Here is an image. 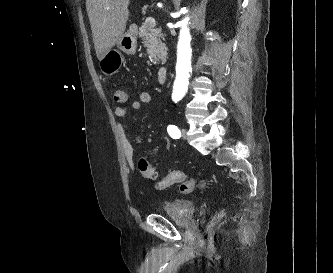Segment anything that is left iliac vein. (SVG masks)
Listing matches in <instances>:
<instances>
[{"label": "left iliac vein", "instance_id": "obj_1", "mask_svg": "<svg viewBox=\"0 0 333 273\" xmlns=\"http://www.w3.org/2000/svg\"><path fill=\"white\" fill-rule=\"evenodd\" d=\"M181 136L184 138V139H187V130L185 128H182L181 129Z\"/></svg>", "mask_w": 333, "mask_h": 273}]
</instances>
